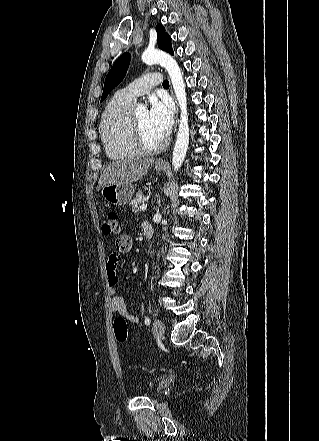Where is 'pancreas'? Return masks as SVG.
Masks as SVG:
<instances>
[{
  "instance_id": "obj_1",
  "label": "pancreas",
  "mask_w": 319,
  "mask_h": 441,
  "mask_svg": "<svg viewBox=\"0 0 319 441\" xmlns=\"http://www.w3.org/2000/svg\"><path fill=\"white\" fill-rule=\"evenodd\" d=\"M145 195L142 191H138L134 196L133 200L130 202L132 210L137 213L140 206L144 203Z\"/></svg>"
}]
</instances>
